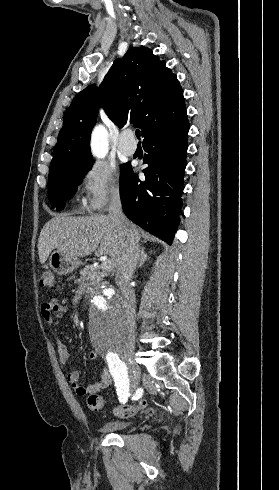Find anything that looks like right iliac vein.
<instances>
[{
    "mask_svg": "<svg viewBox=\"0 0 279 490\" xmlns=\"http://www.w3.org/2000/svg\"><path fill=\"white\" fill-rule=\"evenodd\" d=\"M129 366L133 372H137L140 370L138 365L136 364V362L133 359H131Z\"/></svg>",
    "mask_w": 279,
    "mask_h": 490,
    "instance_id": "right-iliac-vein-1",
    "label": "right iliac vein"
}]
</instances>
